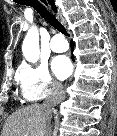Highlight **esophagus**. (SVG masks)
<instances>
[{
  "instance_id": "esophagus-1",
  "label": "esophagus",
  "mask_w": 117,
  "mask_h": 136,
  "mask_svg": "<svg viewBox=\"0 0 117 136\" xmlns=\"http://www.w3.org/2000/svg\"><path fill=\"white\" fill-rule=\"evenodd\" d=\"M40 1H41L43 4H45L46 6H49L47 0H40Z\"/></svg>"
}]
</instances>
